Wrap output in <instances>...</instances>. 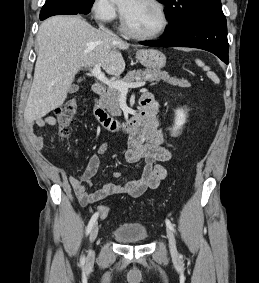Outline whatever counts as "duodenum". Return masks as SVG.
<instances>
[{"label":"duodenum","instance_id":"1","mask_svg":"<svg viewBox=\"0 0 259 283\" xmlns=\"http://www.w3.org/2000/svg\"><path fill=\"white\" fill-rule=\"evenodd\" d=\"M95 94L93 112L98 121L109 131L120 132L127 135H133L140 129L149 124L150 119L156 115L157 108L153 105L152 99L142 97L138 113L128 121L119 122L112 119L99 103V97L105 93V87L101 83L93 84Z\"/></svg>","mask_w":259,"mask_h":283}]
</instances>
